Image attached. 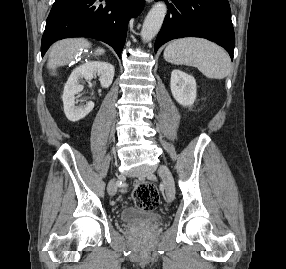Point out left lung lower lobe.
Segmentation results:
<instances>
[{
    "label": "left lung lower lobe",
    "mask_w": 286,
    "mask_h": 269,
    "mask_svg": "<svg viewBox=\"0 0 286 269\" xmlns=\"http://www.w3.org/2000/svg\"><path fill=\"white\" fill-rule=\"evenodd\" d=\"M164 1L168 13L157 36L155 52L172 39L202 37L224 47L233 59L235 35L228 0Z\"/></svg>",
    "instance_id": "obj_1"
}]
</instances>
